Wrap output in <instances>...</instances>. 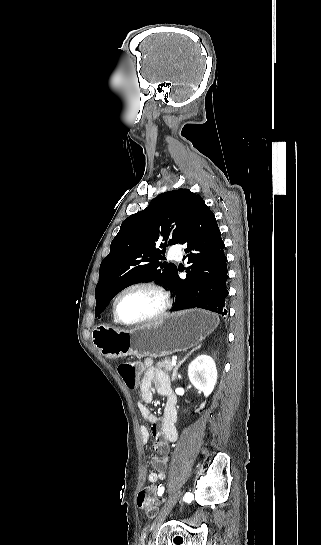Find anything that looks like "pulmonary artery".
<instances>
[{
  "label": "pulmonary artery",
  "mask_w": 321,
  "mask_h": 545,
  "mask_svg": "<svg viewBox=\"0 0 321 545\" xmlns=\"http://www.w3.org/2000/svg\"><path fill=\"white\" fill-rule=\"evenodd\" d=\"M180 248L178 246H171L169 251L166 252L165 257L167 260L172 261L174 259H180Z\"/></svg>",
  "instance_id": "pulmonary-artery-1"
}]
</instances>
